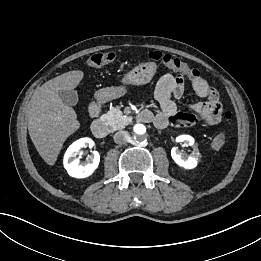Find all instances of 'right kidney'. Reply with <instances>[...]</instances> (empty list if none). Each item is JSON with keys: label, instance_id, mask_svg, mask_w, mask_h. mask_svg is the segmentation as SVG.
I'll list each match as a JSON object with an SVG mask.
<instances>
[{"label": "right kidney", "instance_id": "ca27d5eb", "mask_svg": "<svg viewBox=\"0 0 261 261\" xmlns=\"http://www.w3.org/2000/svg\"><path fill=\"white\" fill-rule=\"evenodd\" d=\"M94 142L90 138H81L72 143L65 152L63 164L68 174L75 178H85L90 176L98 167L100 155L94 151L93 156L85 163H81L77 158L81 148L92 147Z\"/></svg>", "mask_w": 261, "mask_h": 261}]
</instances>
